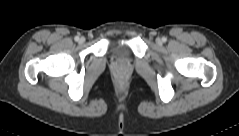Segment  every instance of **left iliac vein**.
I'll list each match as a JSON object with an SVG mask.
<instances>
[{
	"mask_svg": "<svg viewBox=\"0 0 239 136\" xmlns=\"http://www.w3.org/2000/svg\"><path fill=\"white\" fill-rule=\"evenodd\" d=\"M156 43H157L158 45H161V44H162V40H161L160 38H157V39H156Z\"/></svg>",
	"mask_w": 239,
	"mask_h": 136,
	"instance_id": "1",
	"label": "left iliac vein"
}]
</instances>
